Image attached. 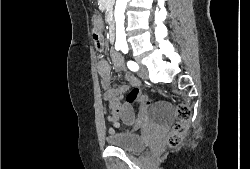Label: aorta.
Masks as SVG:
<instances>
[{
	"instance_id": "obj_1",
	"label": "aorta",
	"mask_w": 250,
	"mask_h": 169,
	"mask_svg": "<svg viewBox=\"0 0 250 169\" xmlns=\"http://www.w3.org/2000/svg\"><path fill=\"white\" fill-rule=\"evenodd\" d=\"M127 2L128 0H116L115 4L114 18L116 22V38H120V40H125L124 12Z\"/></svg>"
}]
</instances>
